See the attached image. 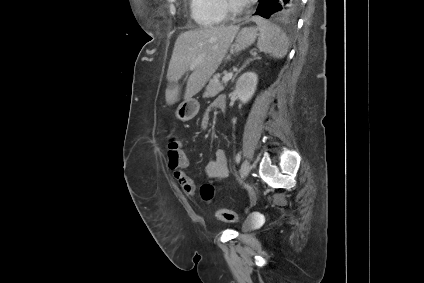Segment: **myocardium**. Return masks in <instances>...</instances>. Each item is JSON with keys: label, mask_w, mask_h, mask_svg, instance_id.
Here are the masks:
<instances>
[{"label": "myocardium", "mask_w": 424, "mask_h": 283, "mask_svg": "<svg viewBox=\"0 0 424 283\" xmlns=\"http://www.w3.org/2000/svg\"><path fill=\"white\" fill-rule=\"evenodd\" d=\"M224 7L230 16H237L246 10L245 5L234 3L233 0H224Z\"/></svg>", "instance_id": "myocardium-1"}]
</instances>
